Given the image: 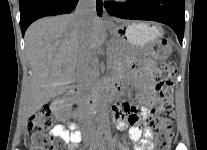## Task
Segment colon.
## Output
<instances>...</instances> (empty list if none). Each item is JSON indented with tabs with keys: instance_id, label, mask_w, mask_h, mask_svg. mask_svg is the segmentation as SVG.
Wrapping results in <instances>:
<instances>
[{
	"instance_id": "5ec220e1",
	"label": "colon",
	"mask_w": 207,
	"mask_h": 150,
	"mask_svg": "<svg viewBox=\"0 0 207 150\" xmlns=\"http://www.w3.org/2000/svg\"><path fill=\"white\" fill-rule=\"evenodd\" d=\"M170 52L171 47L166 39L157 42L151 50L152 57L159 62L155 73L159 102L147 121L156 132L158 150L168 149L174 127L176 66L173 62L166 61ZM53 124L49 107L39 109L30 117L28 122L29 150H62L58 140L49 134Z\"/></svg>"
}]
</instances>
